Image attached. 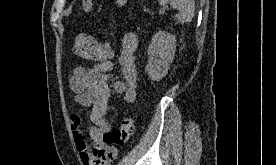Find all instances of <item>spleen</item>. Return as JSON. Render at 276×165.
Here are the masks:
<instances>
[{
  "label": "spleen",
  "instance_id": "3e777b00",
  "mask_svg": "<svg viewBox=\"0 0 276 165\" xmlns=\"http://www.w3.org/2000/svg\"><path fill=\"white\" fill-rule=\"evenodd\" d=\"M161 4L170 3L173 9L178 10L176 18L178 22L184 24L191 22L194 11L195 2L194 0H158Z\"/></svg>",
  "mask_w": 276,
  "mask_h": 165
}]
</instances>
